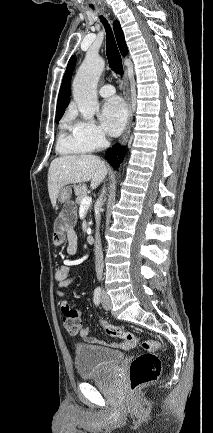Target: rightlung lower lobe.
Segmentation results:
<instances>
[{
	"instance_id": "98d812e1",
	"label": "right lung lower lobe",
	"mask_w": 213,
	"mask_h": 433,
	"mask_svg": "<svg viewBox=\"0 0 213 433\" xmlns=\"http://www.w3.org/2000/svg\"><path fill=\"white\" fill-rule=\"evenodd\" d=\"M125 155V150L119 148L118 144L114 145L108 152V161L115 168L118 169L120 162H122Z\"/></svg>"
}]
</instances>
